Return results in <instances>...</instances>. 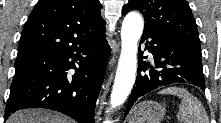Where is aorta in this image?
Listing matches in <instances>:
<instances>
[{
    "instance_id": "762f6f07",
    "label": "aorta",
    "mask_w": 221,
    "mask_h": 123,
    "mask_svg": "<svg viewBox=\"0 0 221 123\" xmlns=\"http://www.w3.org/2000/svg\"><path fill=\"white\" fill-rule=\"evenodd\" d=\"M144 22L140 14L130 12L121 27V54L110 97L112 108L122 105L130 94L137 72L138 41L142 35Z\"/></svg>"
}]
</instances>
